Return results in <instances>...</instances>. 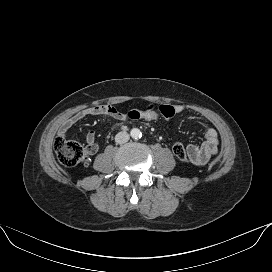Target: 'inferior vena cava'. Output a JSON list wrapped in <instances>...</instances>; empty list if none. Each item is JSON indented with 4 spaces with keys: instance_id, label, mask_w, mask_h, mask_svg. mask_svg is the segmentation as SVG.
Returning <instances> with one entry per match:
<instances>
[{
    "instance_id": "602c4592",
    "label": "inferior vena cava",
    "mask_w": 272,
    "mask_h": 272,
    "mask_svg": "<svg viewBox=\"0 0 272 272\" xmlns=\"http://www.w3.org/2000/svg\"><path fill=\"white\" fill-rule=\"evenodd\" d=\"M129 140V134L127 132H119L115 136V142L117 144L126 143Z\"/></svg>"
}]
</instances>
